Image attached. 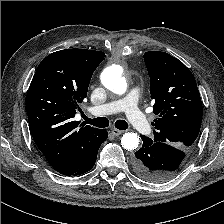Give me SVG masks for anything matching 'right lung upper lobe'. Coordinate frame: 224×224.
Here are the masks:
<instances>
[{"mask_svg": "<svg viewBox=\"0 0 224 224\" xmlns=\"http://www.w3.org/2000/svg\"><path fill=\"white\" fill-rule=\"evenodd\" d=\"M105 59L100 51L60 50L38 66L27 95L29 129L39 150L58 172L79 163L102 129L78 128V103L87 96L93 72Z\"/></svg>", "mask_w": 224, "mask_h": 224, "instance_id": "obj_1", "label": "right lung upper lobe"}]
</instances>
